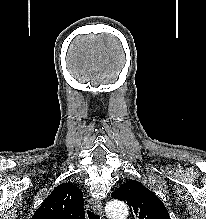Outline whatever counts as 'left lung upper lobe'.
Instances as JSON below:
<instances>
[{
  "instance_id": "obj_1",
  "label": "left lung upper lobe",
  "mask_w": 206,
  "mask_h": 219,
  "mask_svg": "<svg viewBox=\"0 0 206 219\" xmlns=\"http://www.w3.org/2000/svg\"><path fill=\"white\" fill-rule=\"evenodd\" d=\"M111 197L127 202L133 219H170L163 202L136 180L122 184Z\"/></svg>"
}]
</instances>
